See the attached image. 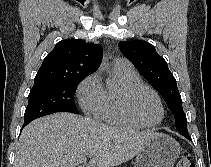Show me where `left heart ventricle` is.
I'll use <instances>...</instances> for the list:
<instances>
[{"label":"left heart ventricle","instance_id":"1","mask_svg":"<svg viewBox=\"0 0 211 167\" xmlns=\"http://www.w3.org/2000/svg\"><path fill=\"white\" fill-rule=\"evenodd\" d=\"M131 108L136 117L145 124H154L161 116L156 98L146 90L139 91L132 97Z\"/></svg>","mask_w":211,"mask_h":167}]
</instances>
